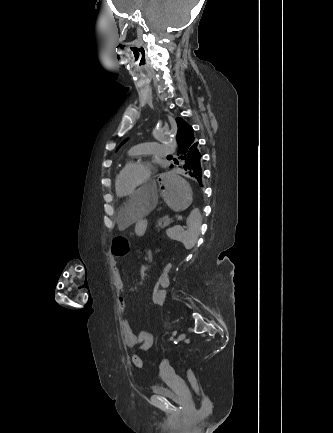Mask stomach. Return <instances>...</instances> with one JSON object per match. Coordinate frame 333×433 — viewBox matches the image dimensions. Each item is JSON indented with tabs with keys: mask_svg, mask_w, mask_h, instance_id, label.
Segmentation results:
<instances>
[{
	"mask_svg": "<svg viewBox=\"0 0 333 433\" xmlns=\"http://www.w3.org/2000/svg\"><path fill=\"white\" fill-rule=\"evenodd\" d=\"M158 183L161 184V194L167 204L168 210H172L174 215H183L189 209V204L193 198V191L190 183L186 182L185 176L178 174L176 169H167L165 174H158ZM146 220H138L136 232L140 228H146Z\"/></svg>",
	"mask_w": 333,
	"mask_h": 433,
	"instance_id": "0dacf381",
	"label": "stomach"
}]
</instances>
